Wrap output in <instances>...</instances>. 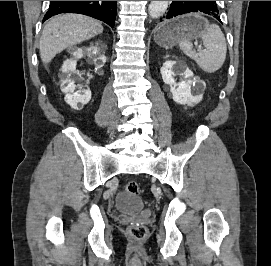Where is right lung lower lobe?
<instances>
[{
    "label": "right lung lower lobe",
    "instance_id": "1",
    "mask_svg": "<svg viewBox=\"0 0 271 266\" xmlns=\"http://www.w3.org/2000/svg\"><path fill=\"white\" fill-rule=\"evenodd\" d=\"M117 1H50L43 22L59 13H80L104 21L114 27Z\"/></svg>",
    "mask_w": 271,
    "mask_h": 266
}]
</instances>
